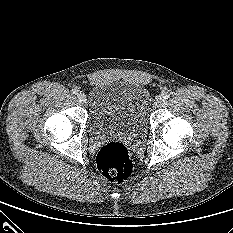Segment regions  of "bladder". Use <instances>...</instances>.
Segmentation results:
<instances>
[{"instance_id":"obj_1","label":"bladder","mask_w":233,"mask_h":233,"mask_svg":"<svg viewBox=\"0 0 233 233\" xmlns=\"http://www.w3.org/2000/svg\"><path fill=\"white\" fill-rule=\"evenodd\" d=\"M88 104L92 135L121 132L137 137L147 130L150 95L140 84L124 80L95 83Z\"/></svg>"}]
</instances>
